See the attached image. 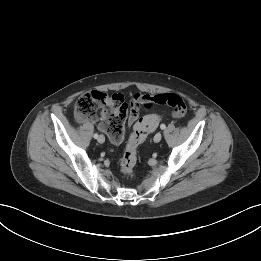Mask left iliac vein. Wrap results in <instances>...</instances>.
<instances>
[{"instance_id":"1","label":"left iliac vein","mask_w":261,"mask_h":261,"mask_svg":"<svg viewBox=\"0 0 261 261\" xmlns=\"http://www.w3.org/2000/svg\"><path fill=\"white\" fill-rule=\"evenodd\" d=\"M161 139H162V134L161 133H156L154 138H153L154 142H156V143L160 142Z\"/></svg>"}]
</instances>
